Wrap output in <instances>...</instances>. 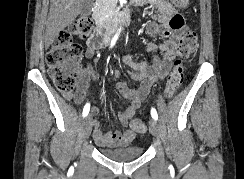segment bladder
I'll list each match as a JSON object with an SVG mask.
<instances>
[{"mask_svg": "<svg viewBox=\"0 0 244 179\" xmlns=\"http://www.w3.org/2000/svg\"><path fill=\"white\" fill-rule=\"evenodd\" d=\"M100 151L103 156L119 161H129L132 159H137L144 152L143 148L135 146L126 147L118 150L100 148Z\"/></svg>", "mask_w": 244, "mask_h": 179, "instance_id": "31cf9c89", "label": "bladder"}]
</instances>
